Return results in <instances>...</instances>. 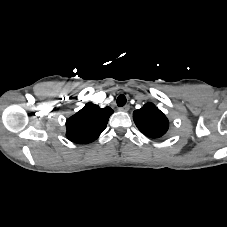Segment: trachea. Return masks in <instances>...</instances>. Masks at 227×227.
<instances>
[{
    "instance_id": "trachea-1",
    "label": "trachea",
    "mask_w": 227,
    "mask_h": 227,
    "mask_svg": "<svg viewBox=\"0 0 227 227\" xmlns=\"http://www.w3.org/2000/svg\"><path fill=\"white\" fill-rule=\"evenodd\" d=\"M126 101V97L123 94L119 95L117 98L118 107H123L126 104Z\"/></svg>"
}]
</instances>
